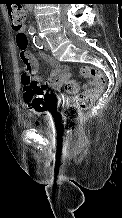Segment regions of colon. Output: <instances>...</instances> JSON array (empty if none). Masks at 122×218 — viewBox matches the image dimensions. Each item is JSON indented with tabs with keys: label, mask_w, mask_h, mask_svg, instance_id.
<instances>
[{
	"label": "colon",
	"mask_w": 122,
	"mask_h": 218,
	"mask_svg": "<svg viewBox=\"0 0 122 218\" xmlns=\"http://www.w3.org/2000/svg\"><path fill=\"white\" fill-rule=\"evenodd\" d=\"M8 12L12 28L16 31L15 40L19 55L25 67L21 75V81L24 84V104L31 112H41L42 106L36 103L34 96L39 89L44 90V88L32 81L29 68L25 64L28 59V37L22 32V28L26 13L24 8L16 3L8 5ZM81 73L84 77L92 80L94 87L89 91L84 90L81 83L76 80H70L65 84L66 91L73 96L72 103L63 110L64 128L67 133L75 130L81 113L91 108L95 96L100 94L106 86V78L100 69L92 66H83Z\"/></svg>",
	"instance_id": "5ec220e1"
}]
</instances>
